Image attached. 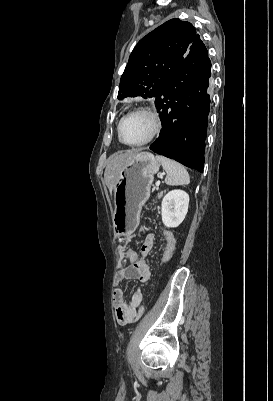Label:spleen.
<instances>
[{
  "label": "spleen",
  "instance_id": "1",
  "mask_svg": "<svg viewBox=\"0 0 273 401\" xmlns=\"http://www.w3.org/2000/svg\"><path fill=\"white\" fill-rule=\"evenodd\" d=\"M156 158L167 172L166 184H189L190 176L182 164L171 160V158H166V156H160V154H157Z\"/></svg>",
  "mask_w": 273,
  "mask_h": 401
}]
</instances>
